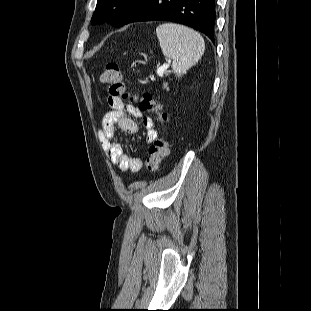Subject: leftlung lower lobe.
<instances>
[{
	"label": "left lung lower lobe",
	"instance_id": "0a47b994",
	"mask_svg": "<svg viewBox=\"0 0 311 311\" xmlns=\"http://www.w3.org/2000/svg\"><path fill=\"white\" fill-rule=\"evenodd\" d=\"M215 0H135L118 26L140 21H171L190 26L214 42Z\"/></svg>",
	"mask_w": 311,
	"mask_h": 311
}]
</instances>
